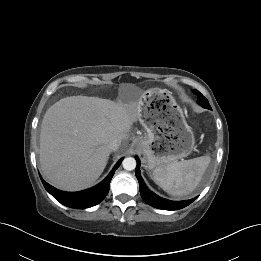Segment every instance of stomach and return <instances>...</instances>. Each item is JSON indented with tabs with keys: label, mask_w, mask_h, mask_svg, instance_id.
<instances>
[{
	"label": "stomach",
	"mask_w": 261,
	"mask_h": 261,
	"mask_svg": "<svg viewBox=\"0 0 261 261\" xmlns=\"http://www.w3.org/2000/svg\"><path fill=\"white\" fill-rule=\"evenodd\" d=\"M138 120L147 135L137 140L149 170L187 157L195 146L192 128L172 93L154 88L141 98Z\"/></svg>",
	"instance_id": "obj_1"
}]
</instances>
